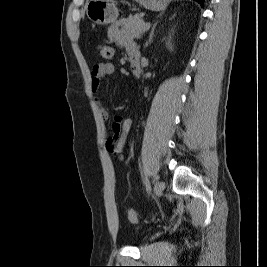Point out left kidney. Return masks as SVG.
Instances as JSON below:
<instances>
[{
	"label": "left kidney",
	"mask_w": 267,
	"mask_h": 267,
	"mask_svg": "<svg viewBox=\"0 0 267 267\" xmlns=\"http://www.w3.org/2000/svg\"><path fill=\"white\" fill-rule=\"evenodd\" d=\"M167 45H168L169 49L172 50V46H171L170 42H168Z\"/></svg>",
	"instance_id": "5707ae66"
}]
</instances>
